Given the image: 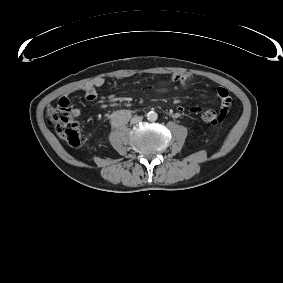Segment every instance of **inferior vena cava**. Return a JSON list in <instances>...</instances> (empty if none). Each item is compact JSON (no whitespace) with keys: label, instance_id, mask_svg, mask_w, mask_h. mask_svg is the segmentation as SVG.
<instances>
[{"label":"inferior vena cava","instance_id":"inferior-vena-cava-1","mask_svg":"<svg viewBox=\"0 0 283 283\" xmlns=\"http://www.w3.org/2000/svg\"><path fill=\"white\" fill-rule=\"evenodd\" d=\"M143 120L142 116H136L131 119V123H138Z\"/></svg>","mask_w":283,"mask_h":283}]
</instances>
